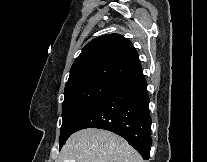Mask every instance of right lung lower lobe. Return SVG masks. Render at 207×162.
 <instances>
[{
  "label": "right lung lower lobe",
  "instance_id": "1",
  "mask_svg": "<svg viewBox=\"0 0 207 162\" xmlns=\"http://www.w3.org/2000/svg\"><path fill=\"white\" fill-rule=\"evenodd\" d=\"M147 83L139 72L117 85L79 123L75 131L99 128L126 139L144 159H149L151 118Z\"/></svg>",
  "mask_w": 207,
  "mask_h": 162
}]
</instances>
